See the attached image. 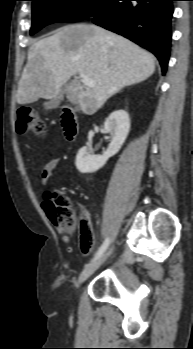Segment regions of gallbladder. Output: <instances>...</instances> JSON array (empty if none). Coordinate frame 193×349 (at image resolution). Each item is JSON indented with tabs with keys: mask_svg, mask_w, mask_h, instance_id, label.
<instances>
[{
	"mask_svg": "<svg viewBox=\"0 0 193 349\" xmlns=\"http://www.w3.org/2000/svg\"><path fill=\"white\" fill-rule=\"evenodd\" d=\"M66 92V87H63L61 89V92L59 93V95L49 101H46L43 106L46 110H51V109H54V108H58L62 99H63V96Z\"/></svg>",
	"mask_w": 193,
	"mask_h": 349,
	"instance_id": "gallbladder-1",
	"label": "gallbladder"
}]
</instances>
